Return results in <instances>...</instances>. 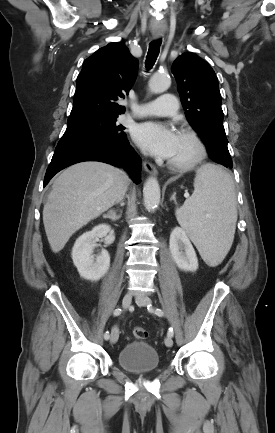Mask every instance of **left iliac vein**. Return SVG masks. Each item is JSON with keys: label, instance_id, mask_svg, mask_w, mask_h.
I'll return each instance as SVG.
<instances>
[{"label": "left iliac vein", "instance_id": "left-iliac-vein-1", "mask_svg": "<svg viewBox=\"0 0 275 433\" xmlns=\"http://www.w3.org/2000/svg\"><path fill=\"white\" fill-rule=\"evenodd\" d=\"M136 303L138 305H140V306H148L151 303V299L149 297H147V296L140 295V296H137ZM165 345L167 347H172L173 346V340H172L171 336H167L165 338Z\"/></svg>", "mask_w": 275, "mask_h": 433}]
</instances>
